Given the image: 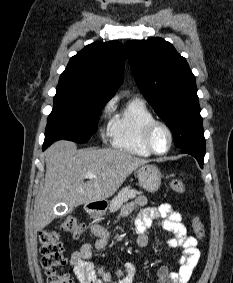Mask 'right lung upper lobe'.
I'll use <instances>...</instances> for the list:
<instances>
[{
    "mask_svg": "<svg viewBox=\"0 0 233 283\" xmlns=\"http://www.w3.org/2000/svg\"><path fill=\"white\" fill-rule=\"evenodd\" d=\"M125 53L119 41L94 42L71 57L57 90L106 103L123 80Z\"/></svg>",
    "mask_w": 233,
    "mask_h": 283,
    "instance_id": "right-lung-upper-lobe-1",
    "label": "right lung upper lobe"
}]
</instances>
